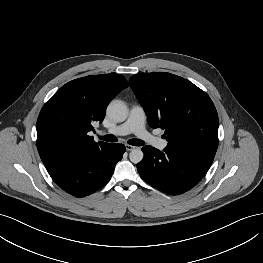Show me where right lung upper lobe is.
<instances>
[{"label": "right lung upper lobe", "instance_id": "cb5924a9", "mask_svg": "<svg viewBox=\"0 0 263 263\" xmlns=\"http://www.w3.org/2000/svg\"><path fill=\"white\" fill-rule=\"evenodd\" d=\"M128 86L123 75H90L68 82L43 106L37 120V148L50 176L107 144L96 143L88 132L94 121H103L110 100Z\"/></svg>", "mask_w": 263, "mask_h": 263}]
</instances>
